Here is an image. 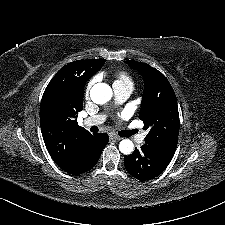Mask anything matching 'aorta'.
<instances>
[{
  "mask_svg": "<svg viewBox=\"0 0 225 225\" xmlns=\"http://www.w3.org/2000/svg\"><path fill=\"white\" fill-rule=\"evenodd\" d=\"M91 100L96 104L107 103L112 98V89L106 83H97L90 90ZM119 150L125 155H129L134 150V144L129 139H124L119 143Z\"/></svg>",
  "mask_w": 225,
  "mask_h": 225,
  "instance_id": "aorta-1",
  "label": "aorta"
}]
</instances>
